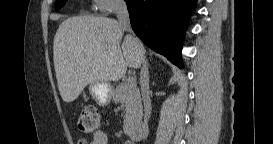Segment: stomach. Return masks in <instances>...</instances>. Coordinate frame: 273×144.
<instances>
[{"mask_svg":"<svg viewBox=\"0 0 273 144\" xmlns=\"http://www.w3.org/2000/svg\"><path fill=\"white\" fill-rule=\"evenodd\" d=\"M113 87L107 82H96L89 86L91 97L100 106H107L112 99Z\"/></svg>","mask_w":273,"mask_h":144,"instance_id":"obj_1","label":"stomach"}]
</instances>
